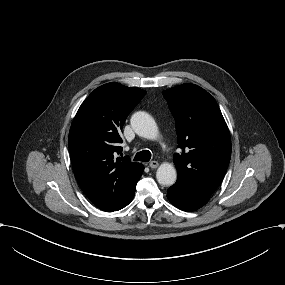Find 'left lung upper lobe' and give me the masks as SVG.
<instances>
[{
    "mask_svg": "<svg viewBox=\"0 0 285 285\" xmlns=\"http://www.w3.org/2000/svg\"><path fill=\"white\" fill-rule=\"evenodd\" d=\"M176 121L174 154L177 181L211 196L223 180L231 157L227 124L215 99L203 88L182 84L162 92Z\"/></svg>",
    "mask_w": 285,
    "mask_h": 285,
    "instance_id": "obj_1",
    "label": "left lung upper lobe"
}]
</instances>
